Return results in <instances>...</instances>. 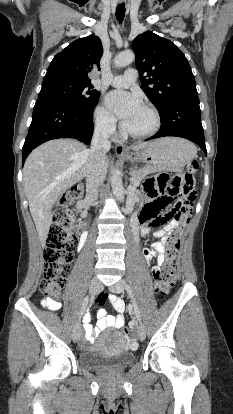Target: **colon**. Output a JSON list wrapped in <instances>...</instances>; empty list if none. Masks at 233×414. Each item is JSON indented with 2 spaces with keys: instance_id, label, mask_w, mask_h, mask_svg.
Masks as SVG:
<instances>
[{
  "instance_id": "colon-1",
  "label": "colon",
  "mask_w": 233,
  "mask_h": 414,
  "mask_svg": "<svg viewBox=\"0 0 233 414\" xmlns=\"http://www.w3.org/2000/svg\"><path fill=\"white\" fill-rule=\"evenodd\" d=\"M199 163L194 160L188 165L183 175L159 173L149 177L144 183V191L154 198L149 205L152 216L158 217L161 212L168 210L180 226L186 225L192 216L193 205L196 200L193 175L198 171ZM83 188L76 185L66 196L60 199L54 210L53 222L50 226L44 250V274L40 283V291L46 297L58 300L63 295L65 278L69 265L73 259V250L76 246L75 235L70 231L73 221V212L70 204L79 199ZM180 245V231H176L165 239L164 256L166 258L159 271L155 291L161 297L166 296L174 286L177 274L174 259ZM125 335L130 333L129 327H124Z\"/></svg>"
}]
</instances>
